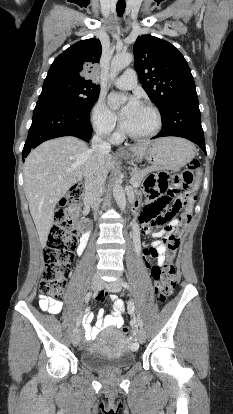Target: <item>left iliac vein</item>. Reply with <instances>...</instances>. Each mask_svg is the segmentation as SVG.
Instances as JSON below:
<instances>
[{"mask_svg": "<svg viewBox=\"0 0 233 414\" xmlns=\"http://www.w3.org/2000/svg\"><path fill=\"white\" fill-rule=\"evenodd\" d=\"M104 286L110 292H119L121 290V280L105 283ZM137 339L141 344L146 341V333L142 327L137 332Z\"/></svg>", "mask_w": 233, "mask_h": 414, "instance_id": "1", "label": "left iliac vein"}]
</instances>
